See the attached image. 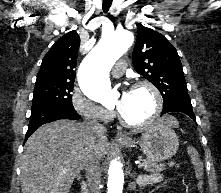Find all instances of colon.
Here are the masks:
<instances>
[{"mask_svg":"<svg viewBox=\"0 0 221 193\" xmlns=\"http://www.w3.org/2000/svg\"><path fill=\"white\" fill-rule=\"evenodd\" d=\"M188 153L194 166V176L196 180L197 190L199 193H201L203 189L204 164L195 148L190 147L188 149Z\"/></svg>","mask_w":221,"mask_h":193,"instance_id":"obj_1","label":"colon"}]
</instances>
